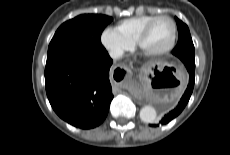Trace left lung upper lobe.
Segmentation results:
<instances>
[{"mask_svg": "<svg viewBox=\"0 0 230 155\" xmlns=\"http://www.w3.org/2000/svg\"><path fill=\"white\" fill-rule=\"evenodd\" d=\"M177 26H178V43L177 46L174 48L172 53L179 57V55H187V57L194 58V45L192 42V38L189 32L188 26L183 23L181 20H179L177 17H175ZM181 59V58H180Z\"/></svg>", "mask_w": 230, "mask_h": 155, "instance_id": "1", "label": "left lung upper lobe"}]
</instances>
